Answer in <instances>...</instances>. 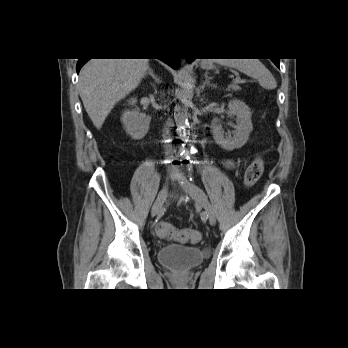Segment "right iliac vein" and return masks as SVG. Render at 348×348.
<instances>
[{
    "label": "right iliac vein",
    "instance_id": "obj_1",
    "mask_svg": "<svg viewBox=\"0 0 348 348\" xmlns=\"http://www.w3.org/2000/svg\"><path fill=\"white\" fill-rule=\"evenodd\" d=\"M168 196V185L165 184L163 188L159 191L157 198L152 206L151 214L156 215L162 208L166 198Z\"/></svg>",
    "mask_w": 348,
    "mask_h": 348
}]
</instances>
